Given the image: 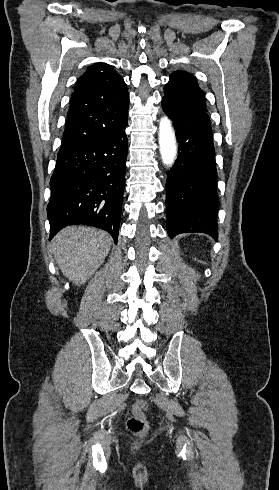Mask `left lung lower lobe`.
Instances as JSON below:
<instances>
[{
  "label": "left lung lower lobe",
  "mask_w": 279,
  "mask_h": 490,
  "mask_svg": "<svg viewBox=\"0 0 279 490\" xmlns=\"http://www.w3.org/2000/svg\"><path fill=\"white\" fill-rule=\"evenodd\" d=\"M179 143L177 160L166 180L167 232H200L217 240V171L210 119L199 112L162 99Z\"/></svg>",
  "instance_id": "0a47b994"
}]
</instances>
